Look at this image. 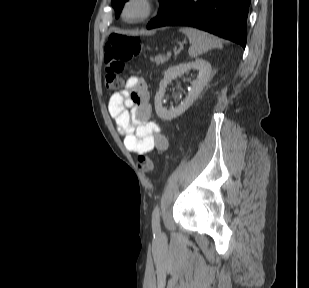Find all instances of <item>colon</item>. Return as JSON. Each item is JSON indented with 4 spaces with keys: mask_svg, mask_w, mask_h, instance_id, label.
I'll use <instances>...</instances> for the list:
<instances>
[{
    "mask_svg": "<svg viewBox=\"0 0 309 288\" xmlns=\"http://www.w3.org/2000/svg\"><path fill=\"white\" fill-rule=\"evenodd\" d=\"M142 48L140 39L124 34H112L105 46L104 69L105 86L111 90H119L123 85L122 72L125 62L137 56ZM138 166L150 171L153 168L151 159L145 154L137 158Z\"/></svg>",
    "mask_w": 309,
    "mask_h": 288,
    "instance_id": "colon-1",
    "label": "colon"
}]
</instances>
